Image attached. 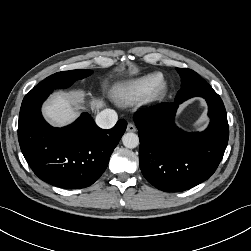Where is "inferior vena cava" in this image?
Returning a JSON list of instances; mask_svg holds the SVG:
<instances>
[{
	"label": "inferior vena cava",
	"instance_id": "602c4592",
	"mask_svg": "<svg viewBox=\"0 0 251 251\" xmlns=\"http://www.w3.org/2000/svg\"><path fill=\"white\" fill-rule=\"evenodd\" d=\"M118 120L117 113L112 109H104L96 116V124L102 129L112 128Z\"/></svg>",
	"mask_w": 251,
	"mask_h": 251
}]
</instances>
